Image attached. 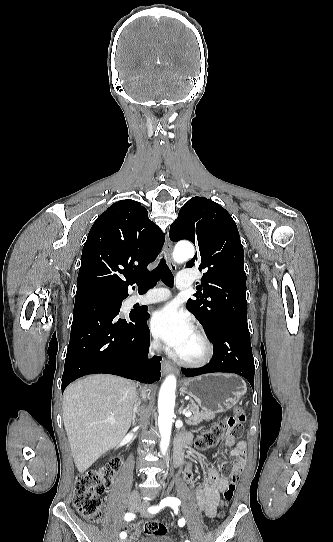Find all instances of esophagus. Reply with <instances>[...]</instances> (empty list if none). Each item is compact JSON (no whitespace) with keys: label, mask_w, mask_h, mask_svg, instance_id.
Here are the masks:
<instances>
[{"label":"esophagus","mask_w":333,"mask_h":542,"mask_svg":"<svg viewBox=\"0 0 333 542\" xmlns=\"http://www.w3.org/2000/svg\"><path fill=\"white\" fill-rule=\"evenodd\" d=\"M165 252H166V260H167V263L169 265V267L171 268L172 271H175L177 269V266L175 264V262H173V259H172V242L169 238V236L166 237V241H165ZM162 371L167 374L169 372H176L178 373V370H176L171 364L170 362H168L167 360L163 359L162 360Z\"/></svg>","instance_id":"34e87169"}]
</instances>
